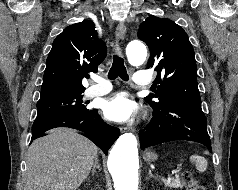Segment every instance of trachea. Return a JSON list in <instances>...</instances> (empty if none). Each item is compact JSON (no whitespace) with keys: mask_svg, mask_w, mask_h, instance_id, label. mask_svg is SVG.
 Returning a JSON list of instances; mask_svg holds the SVG:
<instances>
[{"mask_svg":"<svg viewBox=\"0 0 238 190\" xmlns=\"http://www.w3.org/2000/svg\"><path fill=\"white\" fill-rule=\"evenodd\" d=\"M117 77H120L124 81H128L129 79V76L127 74V71L124 65V60L118 55H114L113 64L108 73V78L115 79Z\"/></svg>","mask_w":238,"mask_h":190,"instance_id":"1","label":"trachea"}]
</instances>
